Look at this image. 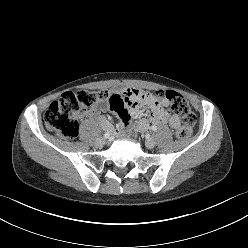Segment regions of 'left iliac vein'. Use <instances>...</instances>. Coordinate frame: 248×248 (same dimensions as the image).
I'll use <instances>...</instances> for the list:
<instances>
[{
    "label": "left iliac vein",
    "instance_id": "4c4485c4",
    "mask_svg": "<svg viewBox=\"0 0 248 248\" xmlns=\"http://www.w3.org/2000/svg\"><path fill=\"white\" fill-rule=\"evenodd\" d=\"M156 145V142L153 138H148L146 141H145V146L149 149L153 148L154 146Z\"/></svg>",
    "mask_w": 248,
    "mask_h": 248
}]
</instances>
